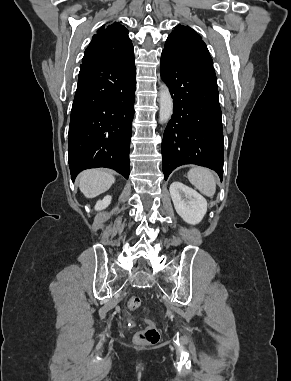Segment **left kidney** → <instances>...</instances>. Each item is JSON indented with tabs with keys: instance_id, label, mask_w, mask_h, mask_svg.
<instances>
[{
	"instance_id": "1",
	"label": "left kidney",
	"mask_w": 291,
	"mask_h": 381,
	"mask_svg": "<svg viewBox=\"0 0 291 381\" xmlns=\"http://www.w3.org/2000/svg\"><path fill=\"white\" fill-rule=\"evenodd\" d=\"M170 195L176 212L188 224H198L207 212V201L194 189L181 182L170 185Z\"/></svg>"
}]
</instances>
